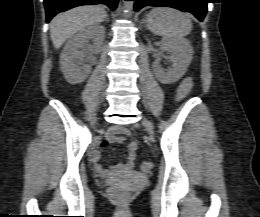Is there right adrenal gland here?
I'll return each mask as SVG.
<instances>
[{"label": "right adrenal gland", "mask_w": 260, "mask_h": 217, "mask_svg": "<svg viewBox=\"0 0 260 217\" xmlns=\"http://www.w3.org/2000/svg\"><path fill=\"white\" fill-rule=\"evenodd\" d=\"M105 21H106V22H109L108 17H106Z\"/></svg>", "instance_id": "2a0ac1e0"}]
</instances>
